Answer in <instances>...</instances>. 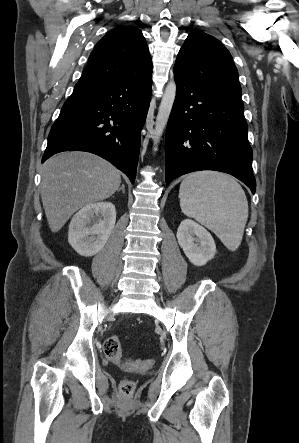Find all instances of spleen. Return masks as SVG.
<instances>
[{"mask_svg":"<svg viewBox=\"0 0 299 443\" xmlns=\"http://www.w3.org/2000/svg\"><path fill=\"white\" fill-rule=\"evenodd\" d=\"M180 207L212 230L230 250L241 244L248 219V202L236 180L218 172L188 175L179 190Z\"/></svg>","mask_w":299,"mask_h":443,"instance_id":"obj_1","label":"spleen"}]
</instances>
